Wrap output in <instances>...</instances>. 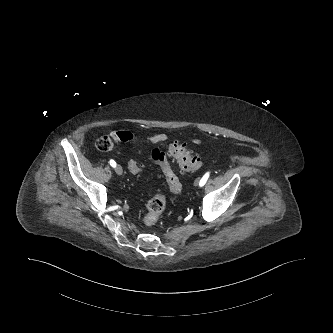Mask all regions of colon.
<instances>
[{"label":"colon","mask_w":333,"mask_h":333,"mask_svg":"<svg viewBox=\"0 0 333 333\" xmlns=\"http://www.w3.org/2000/svg\"><path fill=\"white\" fill-rule=\"evenodd\" d=\"M96 148L107 152L113 148L114 139L112 136H102L96 140ZM168 155L177 161L182 172H191L200 168L202 161L199 156L192 154L186 145L179 141H174L168 146ZM150 159L158 164L164 174L169 190L172 194H179L182 189L181 182L167 160V154L159 148H153L150 152ZM127 167L133 174L143 171V164L138 156H131L127 160ZM167 199L163 194H155L147 203L143 221L147 226L155 225L165 211Z\"/></svg>","instance_id":"1"}]
</instances>
